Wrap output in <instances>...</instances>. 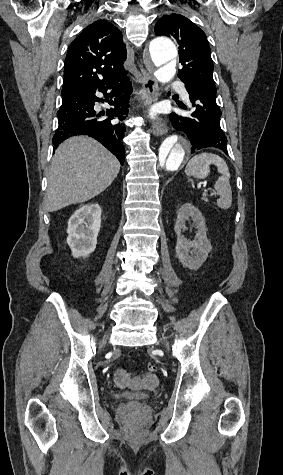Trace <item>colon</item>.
Listing matches in <instances>:
<instances>
[{
	"mask_svg": "<svg viewBox=\"0 0 283 475\" xmlns=\"http://www.w3.org/2000/svg\"><path fill=\"white\" fill-rule=\"evenodd\" d=\"M157 369H158V366L155 362L148 363V371L149 372L154 373L155 371H157Z\"/></svg>",
	"mask_w": 283,
	"mask_h": 475,
	"instance_id": "5ec220e1",
	"label": "colon"
}]
</instances>
